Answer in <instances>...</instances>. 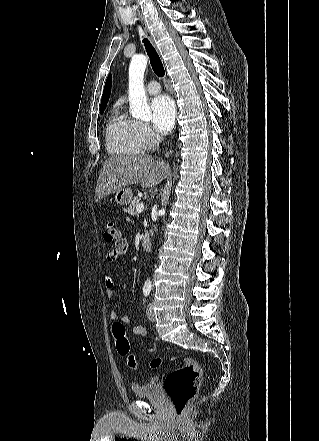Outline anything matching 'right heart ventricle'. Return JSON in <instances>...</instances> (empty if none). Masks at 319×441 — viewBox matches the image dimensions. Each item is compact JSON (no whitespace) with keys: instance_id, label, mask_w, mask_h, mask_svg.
<instances>
[{"instance_id":"e07e8e85","label":"right heart ventricle","mask_w":319,"mask_h":441,"mask_svg":"<svg viewBox=\"0 0 319 441\" xmlns=\"http://www.w3.org/2000/svg\"><path fill=\"white\" fill-rule=\"evenodd\" d=\"M106 147L112 155H137L142 148L137 141L135 121L126 117L119 107H114L105 129Z\"/></svg>"}]
</instances>
